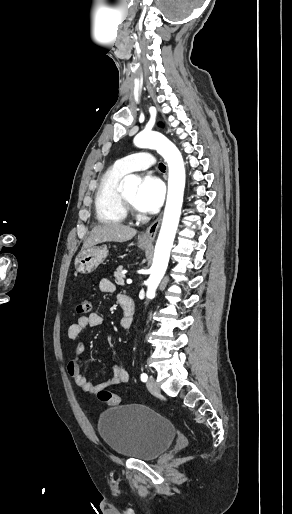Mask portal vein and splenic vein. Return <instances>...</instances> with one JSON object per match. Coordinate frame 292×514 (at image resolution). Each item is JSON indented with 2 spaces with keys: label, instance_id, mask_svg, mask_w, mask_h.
Returning <instances> with one entry per match:
<instances>
[{
  "label": "portal vein and splenic vein",
  "instance_id": "18ae733b",
  "mask_svg": "<svg viewBox=\"0 0 292 514\" xmlns=\"http://www.w3.org/2000/svg\"><path fill=\"white\" fill-rule=\"evenodd\" d=\"M127 284H132V280H126Z\"/></svg>",
  "mask_w": 292,
  "mask_h": 514
}]
</instances>
